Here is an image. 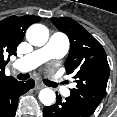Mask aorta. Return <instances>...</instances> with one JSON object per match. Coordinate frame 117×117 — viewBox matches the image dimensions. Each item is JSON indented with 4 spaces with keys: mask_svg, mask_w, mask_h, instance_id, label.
I'll list each match as a JSON object with an SVG mask.
<instances>
[{
    "mask_svg": "<svg viewBox=\"0 0 117 117\" xmlns=\"http://www.w3.org/2000/svg\"><path fill=\"white\" fill-rule=\"evenodd\" d=\"M26 38L34 46H43L49 39V31L42 24H33L26 31ZM39 99L45 106L52 105L56 100L55 92L44 88L39 92Z\"/></svg>",
    "mask_w": 117,
    "mask_h": 117,
    "instance_id": "aorta-1",
    "label": "aorta"
}]
</instances>
